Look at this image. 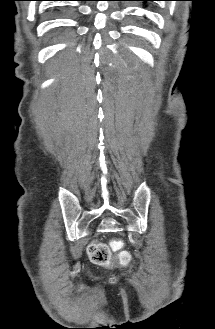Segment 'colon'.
<instances>
[{
  "mask_svg": "<svg viewBox=\"0 0 215 329\" xmlns=\"http://www.w3.org/2000/svg\"><path fill=\"white\" fill-rule=\"evenodd\" d=\"M112 250L118 252V259L122 263L130 261V254L123 249L121 241H113L110 245L104 243H92L88 246L87 252L91 261L96 265H108L111 262Z\"/></svg>",
  "mask_w": 215,
  "mask_h": 329,
  "instance_id": "1",
  "label": "colon"
}]
</instances>
